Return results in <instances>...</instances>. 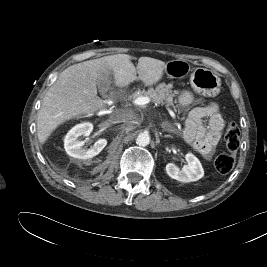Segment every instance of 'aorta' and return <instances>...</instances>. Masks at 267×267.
Returning <instances> with one entry per match:
<instances>
[{
  "mask_svg": "<svg viewBox=\"0 0 267 267\" xmlns=\"http://www.w3.org/2000/svg\"><path fill=\"white\" fill-rule=\"evenodd\" d=\"M136 141L140 146H147L150 143V136L147 132L140 133L137 136Z\"/></svg>",
  "mask_w": 267,
  "mask_h": 267,
  "instance_id": "762f6f07",
  "label": "aorta"
}]
</instances>
